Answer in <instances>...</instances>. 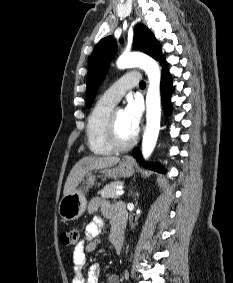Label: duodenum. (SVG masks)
<instances>
[{
    "label": "duodenum",
    "instance_id": "1",
    "mask_svg": "<svg viewBox=\"0 0 233 283\" xmlns=\"http://www.w3.org/2000/svg\"><path fill=\"white\" fill-rule=\"evenodd\" d=\"M111 241L114 246L116 253H120L123 246L124 241V223L119 222L112 233Z\"/></svg>",
    "mask_w": 233,
    "mask_h": 283
}]
</instances>
